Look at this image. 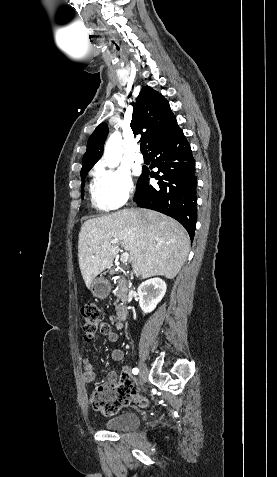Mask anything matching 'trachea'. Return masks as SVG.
Wrapping results in <instances>:
<instances>
[{
	"instance_id": "trachea-1",
	"label": "trachea",
	"mask_w": 277,
	"mask_h": 477,
	"mask_svg": "<svg viewBox=\"0 0 277 477\" xmlns=\"http://www.w3.org/2000/svg\"><path fill=\"white\" fill-rule=\"evenodd\" d=\"M140 148H141V152H142V153H148L146 142H144V141L141 142Z\"/></svg>"
}]
</instances>
